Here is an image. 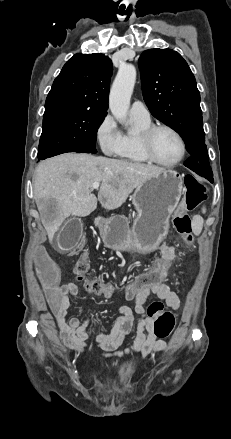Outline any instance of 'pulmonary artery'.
<instances>
[{"label": "pulmonary artery", "instance_id": "e3ab8cb5", "mask_svg": "<svg viewBox=\"0 0 231 439\" xmlns=\"http://www.w3.org/2000/svg\"><path fill=\"white\" fill-rule=\"evenodd\" d=\"M130 116L143 121H150V113L141 101H134L132 103L130 108Z\"/></svg>", "mask_w": 231, "mask_h": 439}]
</instances>
